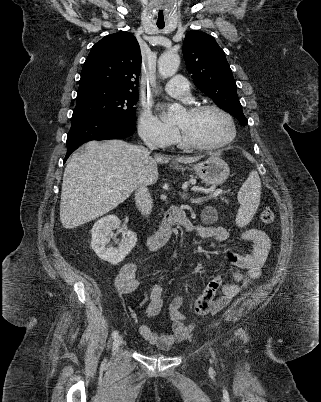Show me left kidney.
<instances>
[{
    "mask_svg": "<svg viewBox=\"0 0 321 402\" xmlns=\"http://www.w3.org/2000/svg\"><path fill=\"white\" fill-rule=\"evenodd\" d=\"M201 216L204 221L214 222L217 219V211L211 207H208L202 212Z\"/></svg>",
    "mask_w": 321,
    "mask_h": 402,
    "instance_id": "obj_1",
    "label": "left kidney"
}]
</instances>
